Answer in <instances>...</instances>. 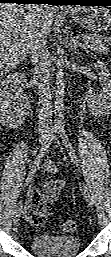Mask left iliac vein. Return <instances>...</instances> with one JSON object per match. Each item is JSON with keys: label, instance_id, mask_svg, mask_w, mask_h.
<instances>
[{"label": "left iliac vein", "instance_id": "obj_1", "mask_svg": "<svg viewBox=\"0 0 111 257\" xmlns=\"http://www.w3.org/2000/svg\"><path fill=\"white\" fill-rule=\"evenodd\" d=\"M55 146L58 147L60 145L58 138L55 139ZM83 194L88 202V204L92 207L94 204L93 197L86 186H83Z\"/></svg>", "mask_w": 111, "mask_h": 257}]
</instances>
